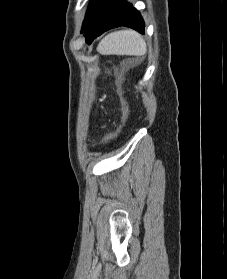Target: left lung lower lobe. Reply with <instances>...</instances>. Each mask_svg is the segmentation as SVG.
Here are the masks:
<instances>
[{"label": "left lung lower lobe", "instance_id": "left-lung-lower-lobe-1", "mask_svg": "<svg viewBox=\"0 0 227 279\" xmlns=\"http://www.w3.org/2000/svg\"><path fill=\"white\" fill-rule=\"evenodd\" d=\"M119 26L144 34L143 18L131 3L126 0H95L87 11L81 33L90 44L105 31Z\"/></svg>", "mask_w": 227, "mask_h": 279}]
</instances>
